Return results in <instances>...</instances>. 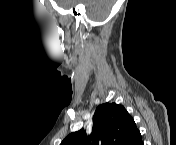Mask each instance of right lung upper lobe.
Returning a JSON list of instances; mask_svg holds the SVG:
<instances>
[{
    "mask_svg": "<svg viewBox=\"0 0 176 145\" xmlns=\"http://www.w3.org/2000/svg\"><path fill=\"white\" fill-rule=\"evenodd\" d=\"M141 134L124 106L104 103L93 116L92 133L84 129L69 134L61 145H141Z\"/></svg>",
    "mask_w": 176,
    "mask_h": 145,
    "instance_id": "cb5924a9",
    "label": "right lung upper lobe"
}]
</instances>
